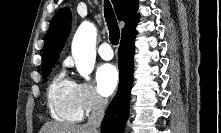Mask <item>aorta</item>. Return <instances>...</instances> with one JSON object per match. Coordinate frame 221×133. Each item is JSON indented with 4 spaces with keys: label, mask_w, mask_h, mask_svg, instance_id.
I'll return each mask as SVG.
<instances>
[{
    "label": "aorta",
    "mask_w": 221,
    "mask_h": 133,
    "mask_svg": "<svg viewBox=\"0 0 221 133\" xmlns=\"http://www.w3.org/2000/svg\"><path fill=\"white\" fill-rule=\"evenodd\" d=\"M97 30L94 24L83 22L76 31L72 42V55L79 74L86 80L94 69L96 60Z\"/></svg>",
    "instance_id": "aorta-1"
}]
</instances>
